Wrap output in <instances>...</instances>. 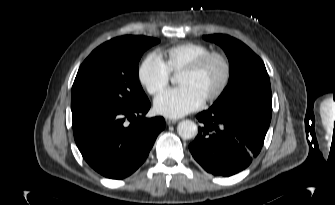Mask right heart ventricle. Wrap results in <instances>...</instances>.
<instances>
[{
    "instance_id": "obj_1",
    "label": "right heart ventricle",
    "mask_w": 335,
    "mask_h": 205,
    "mask_svg": "<svg viewBox=\"0 0 335 205\" xmlns=\"http://www.w3.org/2000/svg\"><path fill=\"white\" fill-rule=\"evenodd\" d=\"M208 52L211 50L204 44L184 42L162 50L160 55L169 72L178 74Z\"/></svg>"
}]
</instances>
